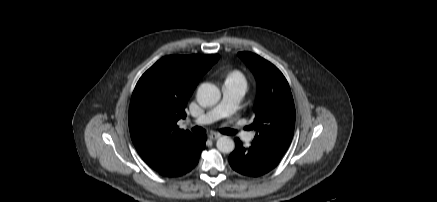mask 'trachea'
<instances>
[{"mask_svg": "<svg viewBox=\"0 0 437 202\" xmlns=\"http://www.w3.org/2000/svg\"><path fill=\"white\" fill-rule=\"evenodd\" d=\"M192 131H193V133H195L197 135L198 134H203V133L206 132V130L204 128L198 127V126L192 128ZM220 132L223 133V134H226V135H234L235 134L234 130L228 129V128L221 129Z\"/></svg>", "mask_w": 437, "mask_h": 202, "instance_id": "1", "label": "trachea"}]
</instances>
